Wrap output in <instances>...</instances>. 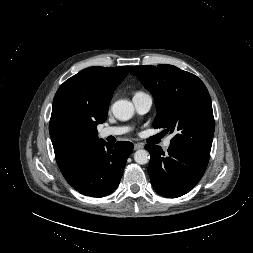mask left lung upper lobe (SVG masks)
Segmentation results:
<instances>
[{
  "mask_svg": "<svg viewBox=\"0 0 253 253\" xmlns=\"http://www.w3.org/2000/svg\"><path fill=\"white\" fill-rule=\"evenodd\" d=\"M136 75L152 93L157 115L154 128L174 133L170 146L209 158L214 135V117L209 92L195 75L173 65L133 66Z\"/></svg>",
  "mask_w": 253,
  "mask_h": 253,
  "instance_id": "5c2ea615",
  "label": "left lung upper lobe"
}]
</instances>
